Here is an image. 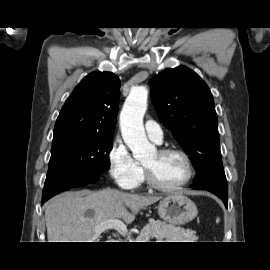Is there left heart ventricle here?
Returning a JSON list of instances; mask_svg holds the SVG:
<instances>
[{"label":"left heart ventricle","mask_w":270,"mask_h":270,"mask_svg":"<svg viewBox=\"0 0 270 270\" xmlns=\"http://www.w3.org/2000/svg\"><path fill=\"white\" fill-rule=\"evenodd\" d=\"M151 172L154 180L164 186L181 182L186 176V167L177 154L160 155L153 152L143 163Z\"/></svg>","instance_id":"1"}]
</instances>
